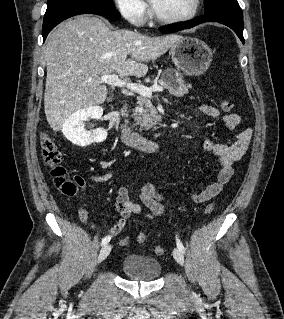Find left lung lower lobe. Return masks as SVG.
<instances>
[{
  "instance_id": "1",
  "label": "left lung lower lobe",
  "mask_w": 284,
  "mask_h": 319,
  "mask_svg": "<svg viewBox=\"0 0 284 319\" xmlns=\"http://www.w3.org/2000/svg\"><path fill=\"white\" fill-rule=\"evenodd\" d=\"M204 22H218L222 23L228 27H230L240 38L242 43L244 44V37H243V13L241 12H233V11H221L211 14H205L203 16H199L194 18L193 20L180 23L176 25H169L161 27L159 30L164 33H172L188 28H192L198 24Z\"/></svg>"
}]
</instances>
